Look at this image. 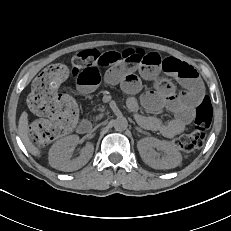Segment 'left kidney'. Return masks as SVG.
<instances>
[{
  "mask_svg": "<svg viewBox=\"0 0 231 231\" xmlns=\"http://www.w3.org/2000/svg\"><path fill=\"white\" fill-rule=\"evenodd\" d=\"M137 148L142 160L154 169L175 168L182 161V156L177 148L165 140L146 137L137 142ZM155 149L163 152L164 156L160 158V154Z\"/></svg>",
  "mask_w": 231,
  "mask_h": 231,
  "instance_id": "1",
  "label": "left kidney"
}]
</instances>
